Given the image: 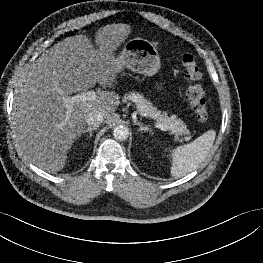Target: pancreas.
Wrapping results in <instances>:
<instances>
[{
	"mask_svg": "<svg viewBox=\"0 0 263 263\" xmlns=\"http://www.w3.org/2000/svg\"><path fill=\"white\" fill-rule=\"evenodd\" d=\"M124 99L135 102L137 110L142 116L155 119L165 125V131H169L170 134H174L176 141L182 142L189 141L191 139L190 131L181 119H178L176 115L169 117L167 113H162L154 107L150 101L145 99L143 95L137 92H130L125 94ZM182 135L186 136L180 138L179 136Z\"/></svg>",
	"mask_w": 263,
	"mask_h": 263,
	"instance_id": "cf45deb5",
	"label": "pancreas"
}]
</instances>
